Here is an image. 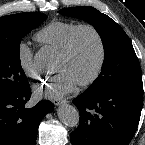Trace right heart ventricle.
<instances>
[{
  "label": "right heart ventricle",
  "mask_w": 145,
  "mask_h": 145,
  "mask_svg": "<svg viewBox=\"0 0 145 145\" xmlns=\"http://www.w3.org/2000/svg\"><path fill=\"white\" fill-rule=\"evenodd\" d=\"M78 25L73 21L54 20L39 30L35 39L39 43L61 52Z\"/></svg>",
  "instance_id": "1"
}]
</instances>
